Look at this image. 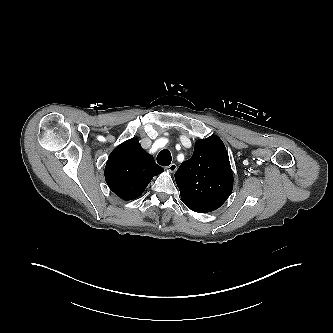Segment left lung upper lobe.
I'll return each instance as SVG.
<instances>
[{
	"label": "left lung upper lobe",
	"mask_w": 333,
	"mask_h": 333,
	"mask_svg": "<svg viewBox=\"0 0 333 333\" xmlns=\"http://www.w3.org/2000/svg\"><path fill=\"white\" fill-rule=\"evenodd\" d=\"M175 180L189 209L200 213L218 209L233 189L232 170L222 140L211 136L196 141L192 157L180 165Z\"/></svg>",
	"instance_id": "obj_1"
}]
</instances>
